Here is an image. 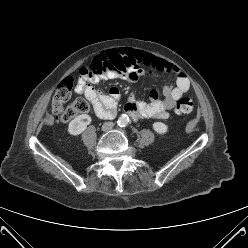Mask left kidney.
Returning <instances> with one entry per match:
<instances>
[{"label":"left kidney","mask_w":248,"mask_h":248,"mask_svg":"<svg viewBox=\"0 0 248 248\" xmlns=\"http://www.w3.org/2000/svg\"><path fill=\"white\" fill-rule=\"evenodd\" d=\"M153 129L158 134H165L168 132V126L163 122L153 123Z\"/></svg>","instance_id":"obj_1"}]
</instances>
